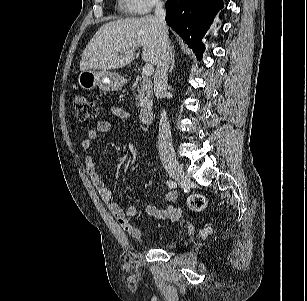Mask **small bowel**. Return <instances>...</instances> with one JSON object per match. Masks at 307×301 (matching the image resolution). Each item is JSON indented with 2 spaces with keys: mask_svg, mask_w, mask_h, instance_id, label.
<instances>
[{
  "mask_svg": "<svg viewBox=\"0 0 307 301\" xmlns=\"http://www.w3.org/2000/svg\"><path fill=\"white\" fill-rule=\"evenodd\" d=\"M111 113L114 117L120 119H129L133 114L120 107H112ZM112 130L111 122L107 120H100L96 124V128L90 129L86 137L81 142V148L84 151H89L92 148L93 142L97 139L99 134H107ZM85 171L90 178L93 186L99 193L102 200L106 203L110 213L114 216L120 227L133 238L139 239L142 236V231L132 225L131 218H135L138 214V209L135 205L129 204L125 208L121 207L117 202L112 199L111 190L106 186L101 176L97 172L95 162L91 156L85 157ZM177 199L175 191H167L163 195L164 202L170 204L167 208H159L151 203L146 204V212L160 219H170L171 221L177 220L181 211L178 207L173 205Z\"/></svg>",
  "mask_w": 307,
  "mask_h": 301,
  "instance_id": "obj_1",
  "label": "small bowel"
}]
</instances>
